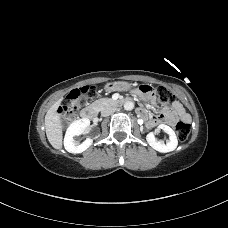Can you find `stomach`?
<instances>
[{
    "mask_svg": "<svg viewBox=\"0 0 228 228\" xmlns=\"http://www.w3.org/2000/svg\"><path fill=\"white\" fill-rule=\"evenodd\" d=\"M132 88V85L128 82L116 81L109 82L105 85V90L107 91H125Z\"/></svg>",
    "mask_w": 228,
    "mask_h": 228,
    "instance_id": "0dacf381",
    "label": "stomach"
}]
</instances>
